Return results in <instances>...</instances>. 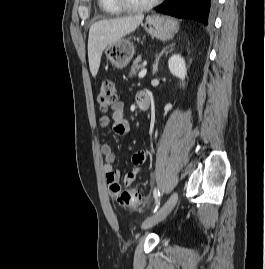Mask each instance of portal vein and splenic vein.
Returning <instances> with one entry per match:
<instances>
[{
    "label": "portal vein and splenic vein",
    "mask_w": 265,
    "mask_h": 269,
    "mask_svg": "<svg viewBox=\"0 0 265 269\" xmlns=\"http://www.w3.org/2000/svg\"><path fill=\"white\" fill-rule=\"evenodd\" d=\"M146 73H147V69H146V68H143V69L139 72L138 77H139V78H143V77H145Z\"/></svg>",
    "instance_id": "portal-vein-and-splenic-vein-1"
}]
</instances>
